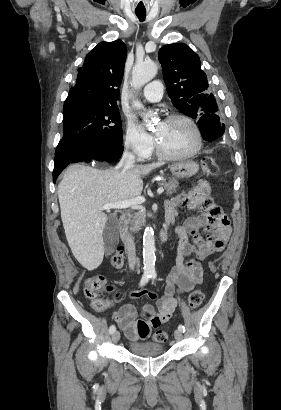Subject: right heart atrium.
I'll use <instances>...</instances> for the list:
<instances>
[{
  "instance_id": "1",
  "label": "right heart atrium",
  "mask_w": 281,
  "mask_h": 410,
  "mask_svg": "<svg viewBox=\"0 0 281 410\" xmlns=\"http://www.w3.org/2000/svg\"><path fill=\"white\" fill-rule=\"evenodd\" d=\"M124 145L139 159L148 157L153 150L152 138L132 122L126 126Z\"/></svg>"
}]
</instances>
